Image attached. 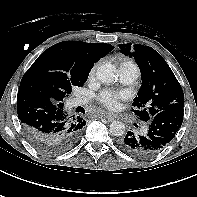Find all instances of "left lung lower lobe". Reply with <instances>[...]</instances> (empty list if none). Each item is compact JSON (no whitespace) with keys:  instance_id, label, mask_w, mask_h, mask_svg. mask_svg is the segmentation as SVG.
<instances>
[{"instance_id":"0a47b994","label":"left lung lower lobe","mask_w":197,"mask_h":197,"mask_svg":"<svg viewBox=\"0 0 197 197\" xmlns=\"http://www.w3.org/2000/svg\"><path fill=\"white\" fill-rule=\"evenodd\" d=\"M184 109L176 108L161 111L150 121L148 130L143 135L128 131L119 140V147L137 158L150 157L162 151L175 137L182 125Z\"/></svg>"}]
</instances>
